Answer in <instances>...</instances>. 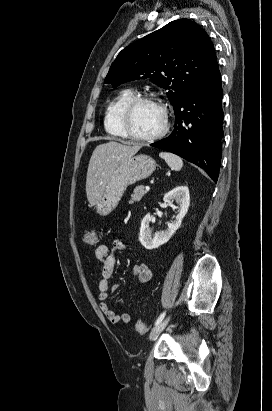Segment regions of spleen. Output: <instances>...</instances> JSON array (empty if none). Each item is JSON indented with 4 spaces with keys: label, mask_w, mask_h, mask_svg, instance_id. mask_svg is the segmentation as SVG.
I'll use <instances>...</instances> for the list:
<instances>
[{
    "label": "spleen",
    "mask_w": 272,
    "mask_h": 411,
    "mask_svg": "<svg viewBox=\"0 0 272 411\" xmlns=\"http://www.w3.org/2000/svg\"><path fill=\"white\" fill-rule=\"evenodd\" d=\"M159 156L165 160V162L168 164L170 168L173 170L179 171L183 167V161L182 159L172 153L168 152H160Z\"/></svg>",
    "instance_id": "1"
}]
</instances>
